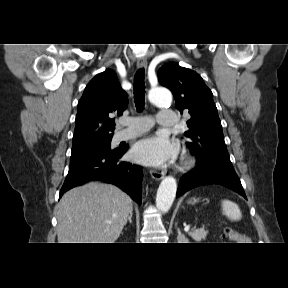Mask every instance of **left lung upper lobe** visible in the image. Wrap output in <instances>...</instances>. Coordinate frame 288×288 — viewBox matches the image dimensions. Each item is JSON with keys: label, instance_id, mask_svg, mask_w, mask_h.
Segmentation results:
<instances>
[{"label": "left lung upper lobe", "instance_id": "left-lung-upper-lobe-1", "mask_svg": "<svg viewBox=\"0 0 288 288\" xmlns=\"http://www.w3.org/2000/svg\"><path fill=\"white\" fill-rule=\"evenodd\" d=\"M158 80L172 91L177 109L181 113L188 111L191 115L187 121L188 130L184 133L190 140L187 144L191 154L200 163L214 162L234 169L224 142L213 94L202 77L171 62L161 67Z\"/></svg>", "mask_w": 288, "mask_h": 288}]
</instances>
